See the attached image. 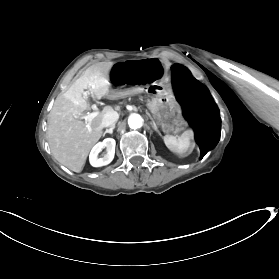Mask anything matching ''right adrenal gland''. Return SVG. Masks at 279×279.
I'll return each instance as SVG.
<instances>
[{
	"mask_svg": "<svg viewBox=\"0 0 279 279\" xmlns=\"http://www.w3.org/2000/svg\"><path fill=\"white\" fill-rule=\"evenodd\" d=\"M114 128H115V125L111 126L109 129H106V131L103 133V136H105L106 133H113Z\"/></svg>",
	"mask_w": 279,
	"mask_h": 279,
	"instance_id": "right-adrenal-gland-1",
	"label": "right adrenal gland"
}]
</instances>
